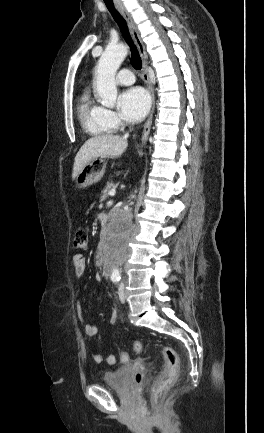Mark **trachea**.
Masks as SVG:
<instances>
[{
    "mask_svg": "<svg viewBox=\"0 0 264 433\" xmlns=\"http://www.w3.org/2000/svg\"><path fill=\"white\" fill-rule=\"evenodd\" d=\"M104 3L106 5L107 9L109 10V12L111 13L113 19L118 24L119 28L121 29L122 33L124 34L125 38L128 41V44H129L130 50H131V64H132V66L135 69H141V66H142L141 57L139 55V52H138L136 46L134 45V43L132 41V38L130 36L128 26H127L125 19L115 9L112 0H104Z\"/></svg>",
    "mask_w": 264,
    "mask_h": 433,
    "instance_id": "1",
    "label": "trachea"
}]
</instances>
